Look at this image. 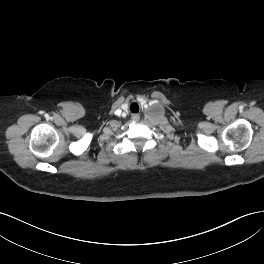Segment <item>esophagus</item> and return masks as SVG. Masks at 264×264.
I'll use <instances>...</instances> for the list:
<instances>
[{
    "instance_id": "esophagus-1",
    "label": "esophagus",
    "mask_w": 264,
    "mask_h": 264,
    "mask_svg": "<svg viewBox=\"0 0 264 264\" xmlns=\"http://www.w3.org/2000/svg\"><path fill=\"white\" fill-rule=\"evenodd\" d=\"M132 118H133L134 120H138V114H133V115H132Z\"/></svg>"
}]
</instances>
